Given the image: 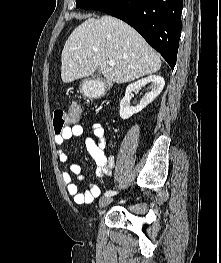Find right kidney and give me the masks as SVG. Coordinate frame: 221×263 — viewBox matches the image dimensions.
<instances>
[{"label": "right kidney", "instance_id": "right-kidney-1", "mask_svg": "<svg viewBox=\"0 0 221 263\" xmlns=\"http://www.w3.org/2000/svg\"><path fill=\"white\" fill-rule=\"evenodd\" d=\"M147 84L149 85V89L151 91L145 94V96L141 99L139 105H137L136 107H132L130 104L131 92L139 90ZM164 85L165 81L163 77L158 75H150L129 85L126 89L125 96L120 102V117L125 120L130 118L132 115L140 112L162 92Z\"/></svg>", "mask_w": 221, "mask_h": 263}]
</instances>
